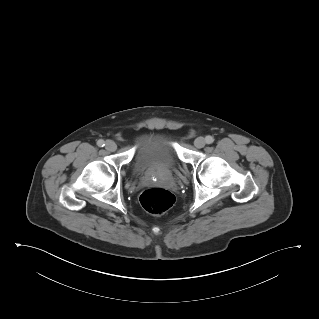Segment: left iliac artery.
Returning a JSON list of instances; mask_svg holds the SVG:
<instances>
[{"instance_id": "obj_1", "label": "left iliac artery", "mask_w": 319, "mask_h": 319, "mask_svg": "<svg viewBox=\"0 0 319 319\" xmlns=\"http://www.w3.org/2000/svg\"><path fill=\"white\" fill-rule=\"evenodd\" d=\"M205 140H206V143H207V144H211V143H213V141H214V139H213L212 136H206Z\"/></svg>"}]
</instances>
